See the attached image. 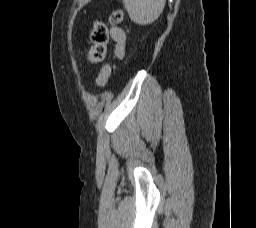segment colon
<instances>
[{"label": "colon", "instance_id": "colon-1", "mask_svg": "<svg viewBox=\"0 0 256 228\" xmlns=\"http://www.w3.org/2000/svg\"><path fill=\"white\" fill-rule=\"evenodd\" d=\"M125 17L123 9L118 8L112 11L110 15V22L113 25L120 24ZM108 29L102 21H95L91 32L92 48L88 53L87 59L91 63L102 62L106 57L107 45H108ZM115 66L111 63L105 64L97 78V84L99 87L104 88L112 73L114 72Z\"/></svg>", "mask_w": 256, "mask_h": 228}]
</instances>
